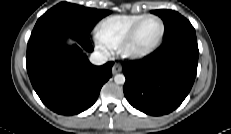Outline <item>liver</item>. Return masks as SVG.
I'll return each mask as SVG.
<instances>
[{"label":"liver","mask_w":231,"mask_h":134,"mask_svg":"<svg viewBox=\"0 0 231 134\" xmlns=\"http://www.w3.org/2000/svg\"><path fill=\"white\" fill-rule=\"evenodd\" d=\"M69 42H70V43H73V41H72L71 39H69Z\"/></svg>","instance_id":"obj_1"}]
</instances>
